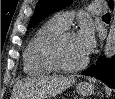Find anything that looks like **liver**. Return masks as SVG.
<instances>
[{"mask_svg": "<svg viewBox=\"0 0 115 99\" xmlns=\"http://www.w3.org/2000/svg\"><path fill=\"white\" fill-rule=\"evenodd\" d=\"M75 82L74 76H44L20 81L15 86L16 99H46L60 94Z\"/></svg>", "mask_w": 115, "mask_h": 99, "instance_id": "1", "label": "liver"}]
</instances>
